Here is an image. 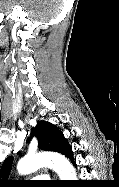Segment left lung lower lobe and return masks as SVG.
Wrapping results in <instances>:
<instances>
[{
  "instance_id": "left-lung-lower-lobe-1",
  "label": "left lung lower lobe",
  "mask_w": 119,
  "mask_h": 187,
  "mask_svg": "<svg viewBox=\"0 0 119 187\" xmlns=\"http://www.w3.org/2000/svg\"><path fill=\"white\" fill-rule=\"evenodd\" d=\"M66 157L76 166V163L74 161V158H73V154H72V149L70 148V150L68 151Z\"/></svg>"
}]
</instances>
